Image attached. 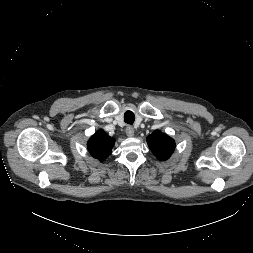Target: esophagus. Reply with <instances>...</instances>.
Segmentation results:
<instances>
[{
  "instance_id": "34e87169",
  "label": "esophagus",
  "mask_w": 253,
  "mask_h": 253,
  "mask_svg": "<svg viewBox=\"0 0 253 253\" xmlns=\"http://www.w3.org/2000/svg\"><path fill=\"white\" fill-rule=\"evenodd\" d=\"M134 129L131 126L126 127V135L128 137H133L134 136Z\"/></svg>"
}]
</instances>
